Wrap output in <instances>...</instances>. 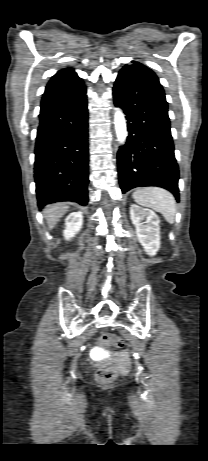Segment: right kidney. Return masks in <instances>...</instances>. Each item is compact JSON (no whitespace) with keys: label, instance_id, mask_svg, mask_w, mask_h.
<instances>
[{"label":"right kidney","instance_id":"obj_1","mask_svg":"<svg viewBox=\"0 0 208 461\" xmlns=\"http://www.w3.org/2000/svg\"><path fill=\"white\" fill-rule=\"evenodd\" d=\"M83 224L82 212H72L65 219V230L64 237L66 240L74 237L77 234Z\"/></svg>","mask_w":208,"mask_h":461}]
</instances>
